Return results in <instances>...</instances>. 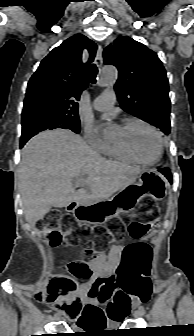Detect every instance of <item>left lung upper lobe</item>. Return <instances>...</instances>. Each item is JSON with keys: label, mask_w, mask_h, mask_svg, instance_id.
Returning <instances> with one entry per match:
<instances>
[{"label": "left lung upper lobe", "mask_w": 194, "mask_h": 336, "mask_svg": "<svg viewBox=\"0 0 194 336\" xmlns=\"http://www.w3.org/2000/svg\"><path fill=\"white\" fill-rule=\"evenodd\" d=\"M104 63L118 68L114 86L121 108L170 133L166 71L157 54L129 37H119L103 52Z\"/></svg>", "instance_id": "obj_1"}]
</instances>
